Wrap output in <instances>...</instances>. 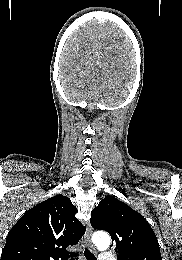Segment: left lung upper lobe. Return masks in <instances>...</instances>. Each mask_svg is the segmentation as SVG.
<instances>
[{
  "mask_svg": "<svg viewBox=\"0 0 182 260\" xmlns=\"http://www.w3.org/2000/svg\"><path fill=\"white\" fill-rule=\"evenodd\" d=\"M91 225L109 232L117 260H162L159 243L146 219L114 196H106L91 212Z\"/></svg>",
  "mask_w": 182,
  "mask_h": 260,
  "instance_id": "5c2ea615",
  "label": "left lung upper lobe"
}]
</instances>
